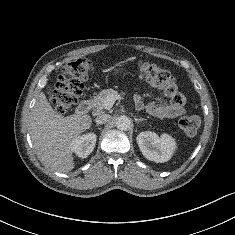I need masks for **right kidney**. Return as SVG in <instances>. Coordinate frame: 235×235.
I'll list each match as a JSON object with an SVG mask.
<instances>
[{
	"label": "right kidney",
	"mask_w": 235,
	"mask_h": 235,
	"mask_svg": "<svg viewBox=\"0 0 235 235\" xmlns=\"http://www.w3.org/2000/svg\"><path fill=\"white\" fill-rule=\"evenodd\" d=\"M96 144V135L88 133L75 138L71 143V150L80 158H86L93 151Z\"/></svg>",
	"instance_id": "1"
}]
</instances>
